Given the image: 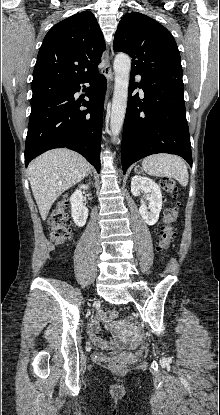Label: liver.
<instances>
[{"label":"liver","mask_w":220,"mask_h":415,"mask_svg":"<svg viewBox=\"0 0 220 415\" xmlns=\"http://www.w3.org/2000/svg\"><path fill=\"white\" fill-rule=\"evenodd\" d=\"M91 171L89 162L68 149H54L37 157L28 168L33 196L43 220L56 199Z\"/></svg>","instance_id":"obj_1"}]
</instances>
